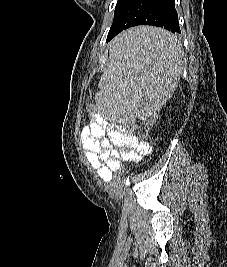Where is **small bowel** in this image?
<instances>
[{
	"label": "small bowel",
	"instance_id": "1",
	"mask_svg": "<svg viewBox=\"0 0 227 267\" xmlns=\"http://www.w3.org/2000/svg\"><path fill=\"white\" fill-rule=\"evenodd\" d=\"M136 129L135 125H124L107 131L101 116H94L83 128L81 139L84 155L104 182L110 181L112 172L121 167L128 155H135L139 162L151 152L150 144L135 134Z\"/></svg>",
	"mask_w": 227,
	"mask_h": 267
}]
</instances>
